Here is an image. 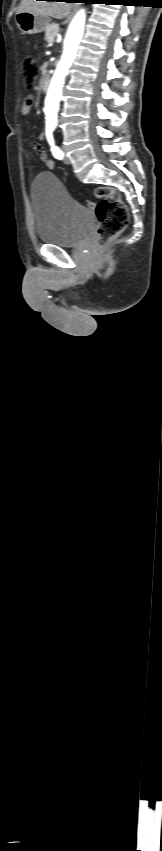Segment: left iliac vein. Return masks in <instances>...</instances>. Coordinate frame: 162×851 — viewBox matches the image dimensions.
<instances>
[{"mask_svg":"<svg viewBox=\"0 0 162 851\" xmlns=\"http://www.w3.org/2000/svg\"><path fill=\"white\" fill-rule=\"evenodd\" d=\"M63 160H64V163H66V164H70V159H69V157L64 156V159H63Z\"/></svg>","mask_w":162,"mask_h":851,"instance_id":"4c4485c4","label":"left iliac vein"}]
</instances>
